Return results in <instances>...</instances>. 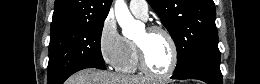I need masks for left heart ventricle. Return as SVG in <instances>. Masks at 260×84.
I'll return each instance as SVG.
<instances>
[{
	"label": "left heart ventricle",
	"instance_id": "1",
	"mask_svg": "<svg viewBox=\"0 0 260 84\" xmlns=\"http://www.w3.org/2000/svg\"><path fill=\"white\" fill-rule=\"evenodd\" d=\"M137 42L143 46L146 62L153 71L163 73L168 70L171 62V48L169 41L162 33L149 34L144 30Z\"/></svg>",
	"mask_w": 260,
	"mask_h": 84
}]
</instances>
